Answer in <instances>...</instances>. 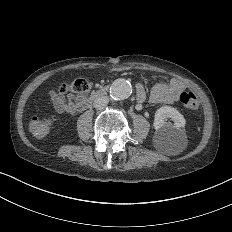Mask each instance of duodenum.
I'll return each mask as SVG.
<instances>
[{"label":"duodenum","instance_id":"duodenum-1","mask_svg":"<svg viewBox=\"0 0 232 232\" xmlns=\"http://www.w3.org/2000/svg\"><path fill=\"white\" fill-rule=\"evenodd\" d=\"M109 91L108 87H102L96 91H94L89 97L85 98L77 108V111H83L87 109L93 101L96 99L106 95Z\"/></svg>","mask_w":232,"mask_h":232}]
</instances>
